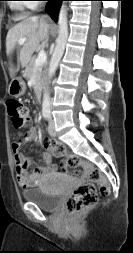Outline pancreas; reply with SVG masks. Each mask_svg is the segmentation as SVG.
<instances>
[{
  "instance_id": "pancreas-1",
  "label": "pancreas",
  "mask_w": 133,
  "mask_h": 253,
  "mask_svg": "<svg viewBox=\"0 0 133 253\" xmlns=\"http://www.w3.org/2000/svg\"><path fill=\"white\" fill-rule=\"evenodd\" d=\"M35 61H36V57L33 56L28 65L26 66V69L24 71V77L29 80L32 75L35 73V82H36V85H37V88H36V95H39L41 89H42V86H43V83H44V71H43V68L45 66V64H42L38 67H35ZM35 70V71H34Z\"/></svg>"
}]
</instances>
